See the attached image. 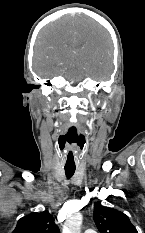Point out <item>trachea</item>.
Segmentation results:
<instances>
[{"instance_id": "trachea-1", "label": "trachea", "mask_w": 145, "mask_h": 233, "mask_svg": "<svg viewBox=\"0 0 145 233\" xmlns=\"http://www.w3.org/2000/svg\"><path fill=\"white\" fill-rule=\"evenodd\" d=\"M75 169H76L75 167H72V168L65 167V174L68 179H70L74 175Z\"/></svg>"}]
</instances>
